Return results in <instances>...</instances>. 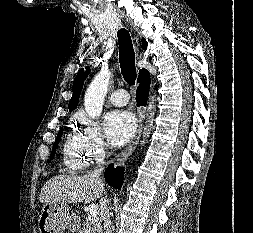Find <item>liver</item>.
Returning <instances> with one entry per match:
<instances>
[{"mask_svg":"<svg viewBox=\"0 0 253 233\" xmlns=\"http://www.w3.org/2000/svg\"><path fill=\"white\" fill-rule=\"evenodd\" d=\"M104 191V184L91 174L83 176L58 175L49 179L41 189L42 203H90L97 200Z\"/></svg>","mask_w":253,"mask_h":233,"instance_id":"6515ba94","label":"liver"}]
</instances>
